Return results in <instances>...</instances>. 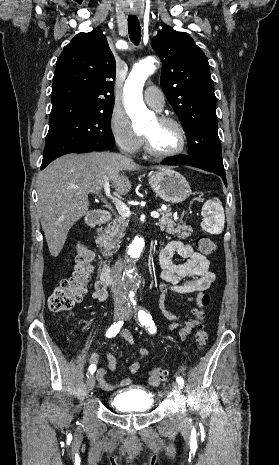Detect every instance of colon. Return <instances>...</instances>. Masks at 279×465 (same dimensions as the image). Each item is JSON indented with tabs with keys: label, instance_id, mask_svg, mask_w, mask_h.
<instances>
[{
	"label": "colon",
	"instance_id": "colon-1",
	"mask_svg": "<svg viewBox=\"0 0 279 465\" xmlns=\"http://www.w3.org/2000/svg\"><path fill=\"white\" fill-rule=\"evenodd\" d=\"M199 251L204 255H209L215 250V243L208 235H200L196 240ZM94 254L88 248L78 245L76 255V265L72 275L63 279L54 289L48 300L49 309L56 313L69 312L78 303L88 290V285L92 279ZM210 303V296L203 294L201 297L202 307H207ZM199 319L204 318L202 310L198 313ZM195 340L198 347H203L208 341V332L203 325H200L195 333ZM168 376V371L162 368L153 369L148 377L151 386L160 385Z\"/></svg>",
	"mask_w": 279,
	"mask_h": 465
}]
</instances>
